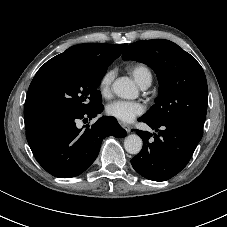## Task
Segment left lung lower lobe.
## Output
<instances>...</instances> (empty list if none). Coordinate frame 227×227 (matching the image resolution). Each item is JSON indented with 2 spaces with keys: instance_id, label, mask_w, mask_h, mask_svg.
Here are the masks:
<instances>
[{
  "instance_id": "obj_1",
  "label": "left lung lower lobe",
  "mask_w": 227,
  "mask_h": 227,
  "mask_svg": "<svg viewBox=\"0 0 227 227\" xmlns=\"http://www.w3.org/2000/svg\"><path fill=\"white\" fill-rule=\"evenodd\" d=\"M156 133L136 130L143 140V149L131 160L133 168L143 177L165 181L178 174L191 159L203 131L180 121L152 123L142 117Z\"/></svg>"
}]
</instances>
